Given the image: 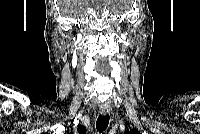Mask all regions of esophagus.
<instances>
[{"instance_id": "obj_1", "label": "esophagus", "mask_w": 200, "mask_h": 134, "mask_svg": "<svg viewBox=\"0 0 200 134\" xmlns=\"http://www.w3.org/2000/svg\"><path fill=\"white\" fill-rule=\"evenodd\" d=\"M99 111L102 115H107L110 112V106L109 105H101L99 108Z\"/></svg>"}]
</instances>
